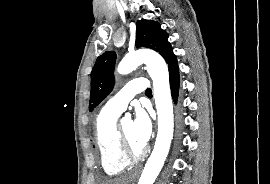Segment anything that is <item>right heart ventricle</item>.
<instances>
[{"label": "right heart ventricle", "instance_id": "right-heart-ventricle-1", "mask_svg": "<svg viewBox=\"0 0 270 184\" xmlns=\"http://www.w3.org/2000/svg\"><path fill=\"white\" fill-rule=\"evenodd\" d=\"M120 112L103 107L96 118L95 137L100 153V162L108 175L123 172L130 164L125 161L119 151L117 135V118Z\"/></svg>", "mask_w": 270, "mask_h": 184}]
</instances>
